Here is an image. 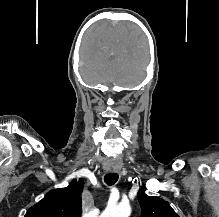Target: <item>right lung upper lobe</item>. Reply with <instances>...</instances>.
Here are the masks:
<instances>
[{"label":"right lung upper lobe","instance_id":"obj_1","mask_svg":"<svg viewBox=\"0 0 219 217\" xmlns=\"http://www.w3.org/2000/svg\"><path fill=\"white\" fill-rule=\"evenodd\" d=\"M82 188V180H73L66 188L49 191L25 217H81Z\"/></svg>","mask_w":219,"mask_h":217}]
</instances>
